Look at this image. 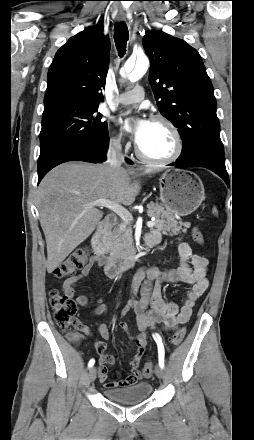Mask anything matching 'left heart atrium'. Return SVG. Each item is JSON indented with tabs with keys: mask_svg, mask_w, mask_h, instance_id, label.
<instances>
[{
	"mask_svg": "<svg viewBox=\"0 0 254 440\" xmlns=\"http://www.w3.org/2000/svg\"><path fill=\"white\" fill-rule=\"evenodd\" d=\"M151 122L152 121L131 112L124 113L116 120L120 128L129 133L137 145L145 138Z\"/></svg>",
	"mask_w": 254,
	"mask_h": 440,
	"instance_id": "left-heart-atrium-1",
	"label": "left heart atrium"
}]
</instances>
